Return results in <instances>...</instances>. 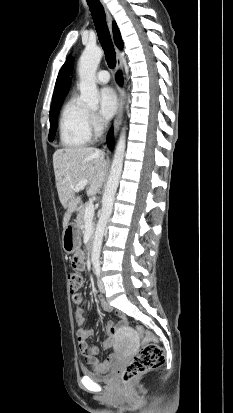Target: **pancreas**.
I'll return each instance as SVG.
<instances>
[{"instance_id":"pancreas-1","label":"pancreas","mask_w":233,"mask_h":413,"mask_svg":"<svg viewBox=\"0 0 233 413\" xmlns=\"http://www.w3.org/2000/svg\"><path fill=\"white\" fill-rule=\"evenodd\" d=\"M90 204H85L79 211L77 218H76V224L78 225L79 228L83 229L84 228V221H85V210ZM94 225V222H93Z\"/></svg>"}]
</instances>
